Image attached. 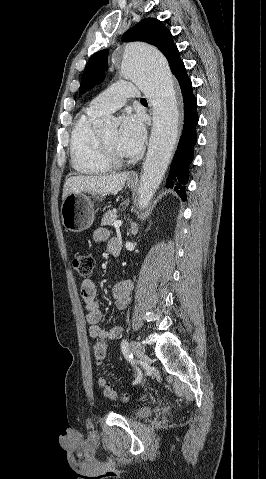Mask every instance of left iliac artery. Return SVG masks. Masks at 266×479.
I'll use <instances>...</instances> for the list:
<instances>
[{
  "label": "left iliac artery",
  "mask_w": 266,
  "mask_h": 479,
  "mask_svg": "<svg viewBox=\"0 0 266 479\" xmlns=\"http://www.w3.org/2000/svg\"><path fill=\"white\" fill-rule=\"evenodd\" d=\"M121 350H122V353L124 354V356L126 357V359H128L129 361L132 362V354H130L129 352V345H128V342L126 339H123L122 342H121ZM132 366L134 367V370L138 372V377L136 378L135 382L133 384H136L138 382H140V380L143 379V369L142 367L140 366V363L139 362H133L132 363Z\"/></svg>",
  "instance_id": "44dca946"
}]
</instances>
